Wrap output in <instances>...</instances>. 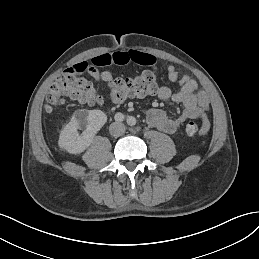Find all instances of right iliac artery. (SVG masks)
I'll list each match as a JSON object with an SVG mask.
<instances>
[{
	"label": "right iliac artery",
	"instance_id": "1",
	"mask_svg": "<svg viewBox=\"0 0 259 259\" xmlns=\"http://www.w3.org/2000/svg\"><path fill=\"white\" fill-rule=\"evenodd\" d=\"M114 119L117 122H122V121H124L125 116L122 113H116L115 116H114Z\"/></svg>",
	"mask_w": 259,
	"mask_h": 259
}]
</instances>
